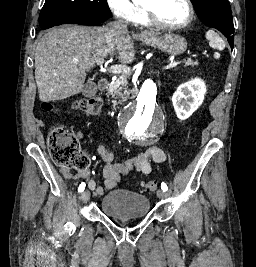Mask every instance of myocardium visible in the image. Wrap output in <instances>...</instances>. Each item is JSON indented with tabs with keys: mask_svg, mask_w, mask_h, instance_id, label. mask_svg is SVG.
Masks as SVG:
<instances>
[{
	"mask_svg": "<svg viewBox=\"0 0 256 267\" xmlns=\"http://www.w3.org/2000/svg\"><path fill=\"white\" fill-rule=\"evenodd\" d=\"M181 2L182 4L185 5V7L187 8L188 11V15L187 18L185 19V21H183L180 24H170V25H165V26H156L158 29L164 30V31H176V30H180L183 29L185 27H187L194 19V8L193 5L191 4V2L189 0H176ZM150 2H147L145 4L146 10H147V17H148V21L150 24L152 23V10L150 7Z\"/></svg>",
	"mask_w": 256,
	"mask_h": 267,
	"instance_id": "obj_1",
	"label": "myocardium"
}]
</instances>
